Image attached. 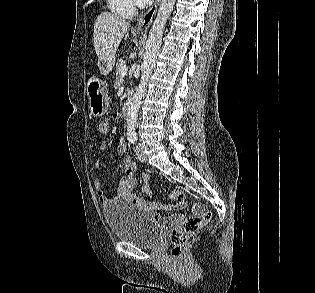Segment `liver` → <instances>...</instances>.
Masks as SVG:
<instances>
[{"label": "liver", "mask_w": 315, "mask_h": 293, "mask_svg": "<svg viewBox=\"0 0 315 293\" xmlns=\"http://www.w3.org/2000/svg\"><path fill=\"white\" fill-rule=\"evenodd\" d=\"M129 23L110 12H102L94 23L93 43L99 61L112 67L116 51Z\"/></svg>", "instance_id": "6515ba94"}]
</instances>
